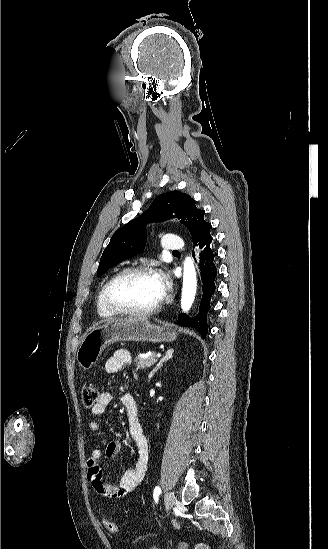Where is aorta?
Instances as JSON below:
<instances>
[{
  "mask_svg": "<svg viewBox=\"0 0 328 549\" xmlns=\"http://www.w3.org/2000/svg\"><path fill=\"white\" fill-rule=\"evenodd\" d=\"M197 290L196 269L191 257H186L183 270V287L181 296V308L184 312L188 311L195 299Z\"/></svg>",
  "mask_w": 328,
  "mask_h": 549,
  "instance_id": "obj_1",
  "label": "aorta"
}]
</instances>
